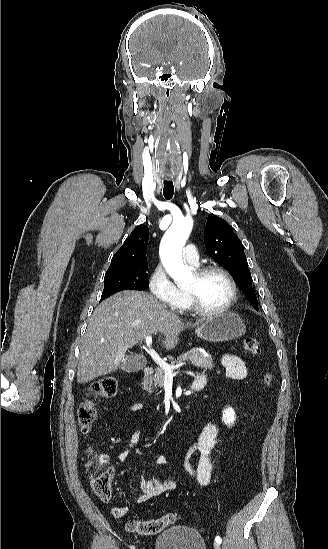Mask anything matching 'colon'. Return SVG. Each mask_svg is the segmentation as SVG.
Masks as SVG:
<instances>
[{
    "mask_svg": "<svg viewBox=\"0 0 328 549\" xmlns=\"http://www.w3.org/2000/svg\"><path fill=\"white\" fill-rule=\"evenodd\" d=\"M245 350L252 355L261 353V345L256 338L246 337L244 339ZM273 376L266 372L263 376V383L266 386L271 385ZM118 382L113 377H104L96 381L90 388V393L95 397L111 398L116 395ZM77 418L80 429L88 433L97 418V410L91 399L84 400L78 407ZM91 467V486L95 495L102 501H107L111 497L112 468L104 464H90ZM179 519L176 513H169L151 520H132L127 524L129 532L139 535L157 534L166 527L174 524Z\"/></svg>",
    "mask_w": 328,
    "mask_h": 549,
    "instance_id": "1",
    "label": "colon"
}]
</instances>
